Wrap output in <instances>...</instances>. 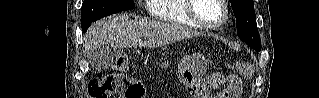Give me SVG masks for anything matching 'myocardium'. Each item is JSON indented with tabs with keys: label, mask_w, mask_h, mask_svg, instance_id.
Segmentation results:
<instances>
[{
	"label": "myocardium",
	"mask_w": 319,
	"mask_h": 98,
	"mask_svg": "<svg viewBox=\"0 0 319 98\" xmlns=\"http://www.w3.org/2000/svg\"><path fill=\"white\" fill-rule=\"evenodd\" d=\"M194 2L195 0H186V11L189 18L195 22L199 27L209 29V30H216L224 26L229 18V10L225 0H218L219 4L222 6L224 14L223 18L220 22L215 24L207 23L206 21L202 20L194 11Z\"/></svg>",
	"instance_id": "1"
}]
</instances>
